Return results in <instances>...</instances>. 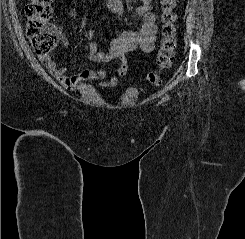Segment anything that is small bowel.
Here are the masks:
<instances>
[{"instance_id":"small-bowel-1","label":"small bowel","mask_w":245,"mask_h":239,"mask_svg":"<svg viewBox=\"0 0 245 239\" xmlns=\"http://www.w3.org/2000/svg\"><path fill=\"white\" fill-rule=\"evenodd\" d=\"M153 1L140 0V5L134 11V14L141 19L139 29L137 31L118 34L111 40L109 48L106 51L100 50L98 44L91 41L94 37V30H89L85 33L88 39L85 47L88 51L89 58L101 64H108L114 60H118L119 67L116 75L107 77L105 69H83L77 74L67 75L66 68L59 67L50 56L40 57L41 62L50 74L68 90H75L81 83L87 81H98L103 87H116L119 83L118 77L125 76L128 71L126 56L136 50L149 53L155 47L157 27ZM106 5L111 13L118 16H123L127 11V7L122 0H107ZM68 15L75 17L76 11L70 10ZM63 45L65 47L69 45L65 37L63 38Z\"/></svg>"}]
</instances>
